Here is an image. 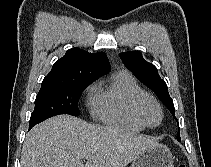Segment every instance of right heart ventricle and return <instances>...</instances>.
I'll return each mask as SVG.
<instances>
[{
	"label": "right heart ventricle",
	"instance_id": "right-heart-ventricle-1",
	"mask_svg": "<svg viewBox=\"0 0 211 167\" xmlns=\"http://www.w3.org/2000/svg\"><path fill=\"white\" fill-rule=\"evenodd\" d=\"M95 91V118L105 124L130 131L139 132L145 128L132 109L133 100L144 91L131 73L120 70L108 83L99 84Z\"/></svg>",
	"mask_w": 211,
	"mask_h": 167
}]
</instances>
